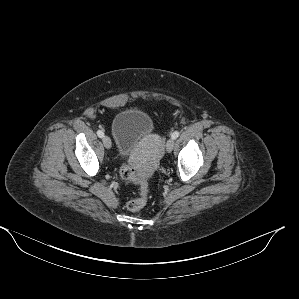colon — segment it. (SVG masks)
Returning <instances> with one entry per match:
<instances>
[{
  "label": "colon",
  "instance_id": "1",
  "mask_svg": "<svg viewBox=\"0 0 299 299\" xmlns=\"http://www.w3.org/2000/svg\"><path fill=\"white\" fill-rule=\"evenodd\" d=\"M120 174L124 180L135 183L140 187V196L128 201L127 208L133 212L141 210L147 201L148 183L144 180L137 179L134 169L128 164H123L121 166Z\"/></svg>",
  "mask_w": 299,
  "mask_h": 299
}]
</instances>
